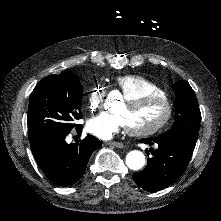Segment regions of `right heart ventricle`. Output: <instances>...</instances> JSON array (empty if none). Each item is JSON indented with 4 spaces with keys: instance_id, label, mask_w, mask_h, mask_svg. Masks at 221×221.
<instances>
[{
    "instance_id": "e07e8e85",
    "label": "right heart ventricle",
    "mask_w": 221,
    "mask_h": 221,
    "mask_svg": "<svg viewBox=\"0 0 221 221\" xmlns=\"http://www.w3.org/2000/svg\"><path fill=\"white\" fill-rule=\"evenodd\" d=\"M117 84L121 87L122 98H136L141 96H164V86L155 81L142 76L123 75L117 79Z\"/></svg>"
}]
</instances>
